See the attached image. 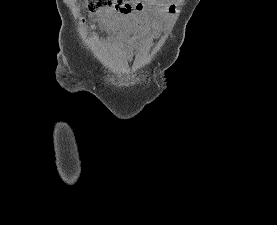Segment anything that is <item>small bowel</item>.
Listing matches in <instances>:
<instances>
[{"label": "small bowel", "mask_w": 277, "mask_h": 225, "mask_svg": "<svg viewBox=\"0 0 277 225\" xmlns=\"http://www.w3.org/2000/svg\"><path fill=\"white\" fill-rule=\"evenodd\" d=\"M174 10L175 5L168 2L158 4L151 10L141 9L129 15L106 10L101 14V23L109 35V43L123 55L130 56L138 49L141 39L150 40ZM116 31H120L128 41L124 43L122 37L115 35Z\"/></svg>", "instance_id": "small-bowel-1"}]
</instances>
